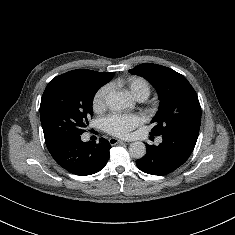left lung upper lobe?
Returning <instances> with one entry per match:
<instances>
[{"instance_id":"5c2ea615","label":"left lung upper lobe","mask_w":235,"mask_h":235,"mask_svg":"<svg viewBox=\"0 0 235 235\" xmlns=\"http://www.w3.org/2000/svg\"><path fill=\"white\" fill-rule=\"evenodd\" d=\"M129 72L144 77L158 92L160 107L151 121L155 126L150 135L174 132L198 135L201 107L195 90L183 75L153 63H143Z\"/></svg>"}]
</instances>
